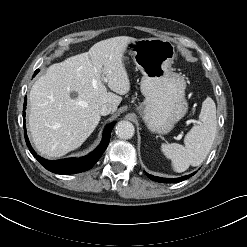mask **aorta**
<instances>
[{
	"label": "aorta",
	"mask_w": 247,
	"mask_h": 247,
	"mask_svg": "<svg viewBox=\"0 0 247 247\" xmlns=\"http://www.w3.org/2000/svg\"><path fill=\"white\" fill-rule=\"evenodd\" d=\"M115 132L120 139H130L134 136L135 128L131 122L123 120L118 122Z\"/></svg>",
	"instance_id": "obj_1"
}]
</instances>
